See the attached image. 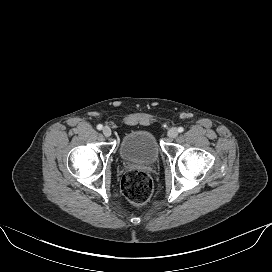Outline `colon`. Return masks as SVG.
Returning <instances> with one entry per match:
<instances>
[{"label": "colon", "mask_w": 272, "mask_h": 272, "mask_svg": "<svg viewBox=\"0 0 272 272\" xmlns=\"http://www.w3.org/2000/svg\"><path fill=\"white\" fill-rule=\"evenodd\" d=\"M121 190L130 202L140 205L146 203L151 197L153 183L145 172L132 169L124 174Z\"/></svg>", "instance_id": "1"}]
</instances>
